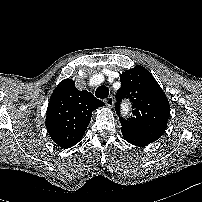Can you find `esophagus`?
Here are the masks:
<instances>
[{
	"mask_svg": "<svg viewBox=\"0 0 202 202\" xmlns=\"http://www.w3.org/2000/svg\"><path fill=\"white\" fill-rule=\"evenodd\" d=\"M105 104L112 108L114 106V98L113 96H109L107 99H105Z\"/></svg>",
	"mask_w": 202,
	"mask_h": 202,
	"instance_id": "obj_1",
	"label": "esophagus"
}]
</instances>
